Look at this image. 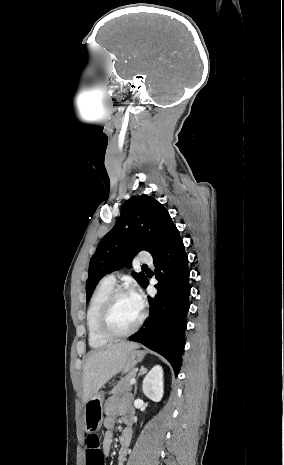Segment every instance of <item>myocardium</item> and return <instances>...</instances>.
<instances>
[{
	"label": "myocardium",
	"instance_id": "1",
	"mask_svg": "<svg viewBox=\"0 0 284 465\" xmlns=\"http://www.w3.org/2000/svg\"><path fill=\"white\" fill-rule=\"evenodd\" d=\"M125 295H131L132 296V293L129 291V290H126V289H114L112 291V293L110 294V296L107 298L103 308H102V311H101V314L99 316V320H98V332L99 334L111 341V342H119V341H123V340H126L130 337H132L138 330L139 328L141 327L142 323L144 322L146 316H147V312L145 310V308L142 306L141 307V310H142V313H141V317L139 319V321L136 323V325L132 328L131 331H129L128 333L126 334H123V335H117L113 332L112 328H111V320H112V314H113V310H114V307L116 305V302L118 301V299L122 296H125Z\"/></svg>",
	"mask_w": 284,
	"mask_h": 465
}]
</instances>
